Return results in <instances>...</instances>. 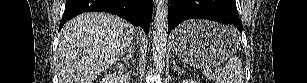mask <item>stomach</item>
<instances>
[{"mask_svg":"<svg viewBox=\"0 0 307 83\" xmlns=\"http://www.w3.org/2000/svg\"><path fill=\"white\" fill-rule=\"evenodd\" d=\"M240 44V35L231 26L191 20L172 35L173 53L191 66H217L231 57Z\"/></svg>","mask_w":307,"mask_h":83,"instance_id":"obj_1","label":"stomach"}]
</instances>
